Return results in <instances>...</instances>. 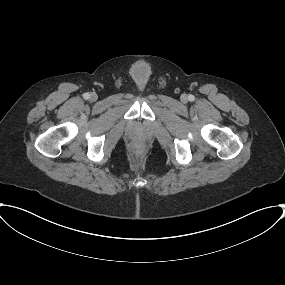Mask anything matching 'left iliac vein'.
Returning <instances> with one entry per match:
<instances>
[{
	"instance_id": "1",
	"label": "left iliac vein",
	"mask_w": 285,
	"mask_h": 285,
	"mask_svg": "<svg viewBox=\"0 0 285 285\" xmlns=\"http://www.w3.org/2000/svg\"><path fill=\"white\" fill-rule=\"evenodd\" d=\"M181 100H182L183 102H186L187 96H186V95H182Z\"/></svg>"
}]
</instances>
